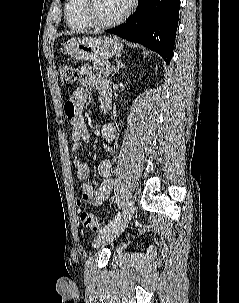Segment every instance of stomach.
<instances>
[{
	"mask_svg": "<svg viewBox=\"0 0 239 303\" xmlns=\"http://www.w3.org/2000/svg\"><path fill=\"white\" fill-rule=\"evenodd\" d=\"M122 51V43L107 36L73 38L65 44V52L81 61H108Z\"/></svg>",
	"mask_w": 239,
	"mask_h": 303,
	"instance_id": "1",
	"label": "stomach"
}]
</instances>
